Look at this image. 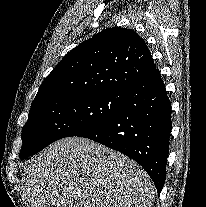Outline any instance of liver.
Masks as SVG:
<instances>
[{"label":"liver","instance_id":"6515ba94","mask_svg":"<svg viewBox=\"0 0 206 207\" xmlns=\"http://www.w3.org/2000/svg\"><path fill=\"white\" fill-rule=\"evenodd\" d=\"M31 207H152L155 186L127 156L81 137L58 140L25 163Z\"/></svg>","mask_w":206,"mask_h":207}]
</instances>
